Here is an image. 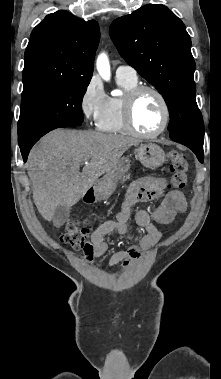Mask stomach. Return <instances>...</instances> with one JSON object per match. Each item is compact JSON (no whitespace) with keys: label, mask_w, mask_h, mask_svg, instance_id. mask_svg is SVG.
Here are the masks:
<instances>
[{"label":"stomach","mask_w":221,"mask_h":379,"mask_svg":"<svg viewBox=\"0 0 221 379\" xmlns=\"http://www.w3.org/2000/svg\"><path fill=\"white\" fill-rule=\"evenodd\" d=\"M137 159L147 168L156 169L165 161L163 149L152 142L144 143L137 149ZM131 162L129 158L122 157L117 164L108 171L94 186L97 199H106L115 190L118 181L129 170Z\"/></svg>","instance_id":"stomach-1"}]
</instances>
